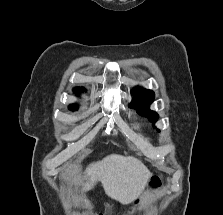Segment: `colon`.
Instances as JSON below:
<instances>
[{
    "instance_id": "5ec220e1",
    "label": "colon",
    "mask_w": 223,
    "mask_h": 215,
    "mask_svg": "<svg viewBox=\"0 0 223 215\" xmlns=\"http://www.w3.org/2000/svg\"><path fill=\"white\" fill-rule=\"evenodd\" d=\"M161 184V181H160V178L158 176H154L151 180V185L153 187H157ZM92 215H103L101 213H95V214H92Z\"/></svg>"
}]
</instances>
